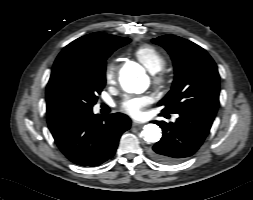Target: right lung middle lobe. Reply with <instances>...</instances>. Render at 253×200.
Listing matches in <instances>:
<instances>
[{
    "mask_svg": "<svg viewBox=\"0 0 253 200\" xmlns=\"http://www.w3.org/2000/svg\"><path fill=\"white\" fill-rule=\"evenodd\" d=\"M129 42V38H121L95 60L68 58L55 63L46 93L50 111L54 115L92 111L106 83V59Z\"/></svg>",
    "mask_w": 253,
    "mask_h": 200,
    "instance_id": "right-lung-middle-lobe-1",
    "label": "right lung middle lobe"
}]
</instances>
